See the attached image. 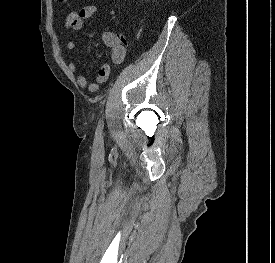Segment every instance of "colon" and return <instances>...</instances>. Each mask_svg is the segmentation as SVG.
<instances>
[{
  "mask_svg": "<svg viewBox=\"0 0 275 263\" xmlns=\"http://www.w3.org/2000/svg\"><path fill=\"white\" fill-rule=\"evenodd\" d=\"M60 2H66L67 0H59Z\"/></svg>",
  "mask_w": 275,
  "mask_h": 263,
  "instance_id": "colon-1",
  "label": "colon"
}]
</instances>
